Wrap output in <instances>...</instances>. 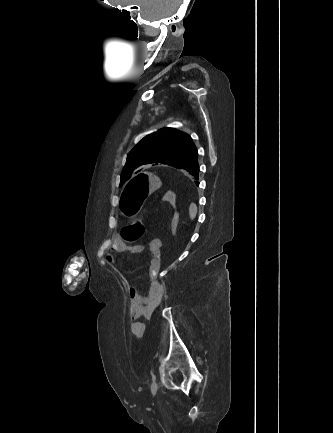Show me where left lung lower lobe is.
I'll use <instances>...</instances> for the list:
<instances>
[{"instance_id":"obj_1","label":"left lung lower lobe","mask_w":333,"mask_h":433,"mask_svg":"<svg viewBox=\"0 0 333 433\" xmlns=\"http://www.w3.org/2000/svg\"><path fill=\"white\" fill-rule=\"evenodd\" d=\"M183 169L186 170V171H188L196 180L199 179L198 158L196 160H194L192 163L188 164Z\"/></svg>"}]
</instances>
